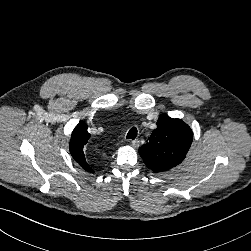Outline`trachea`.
<instances>
[{"label": "trachea", "instance_id": "obj_1", "mask_svg": "<svg viewBox=\"0 0 251 251\" xmlns=\"http://www.w3.org/2000/svg\"><path fill=\"white\" fill-rule=\"evenodd\" d=\"M136 136H137V128H136V127H132V128L129 130V132H128L126 138H127V139H132V140H134V139L136 138Z\"/></svg>", "mask_w": 251, "mask_h": 251}]
</instances>
